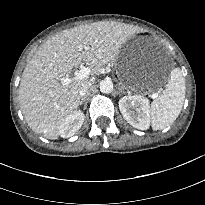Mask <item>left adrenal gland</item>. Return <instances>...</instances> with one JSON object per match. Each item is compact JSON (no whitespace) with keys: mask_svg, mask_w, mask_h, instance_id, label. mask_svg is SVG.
Here are the masks:
<instances>
[{"mask_svg":"<svg viewBox=\"0 0 205 205\" xmlns=\"http://www.w3.org/2000/svg\"><path fill=\"white\" fill-rule=\"evenodd\" d=\"M119 93L120 94H125L124 88L122 86H119Z\"/></svg>","mask_w":205,"mask_h":205,"instance_id":"1","label":"left adrenal gland"}]
</instances>
